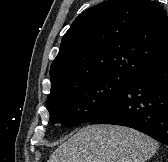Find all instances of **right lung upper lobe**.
<instances>
[{
	"label": "right lung upper lobe",
	"instance_id": "cb5924a9",
	"mask_svg": "<svg viewBox=\"0 0 168 162\" xmlns=\"http://www.w3.org/2000/svg\"><path fill=\"white\" fill-rule=\"evenodd\" d=\"M168 60V17L152 0H108L81 13L50 69L51 92L105 74L133 76Z\"/></svg>",
	"mask_w": 168,
	"mask_h": 162
}]
</instances>
